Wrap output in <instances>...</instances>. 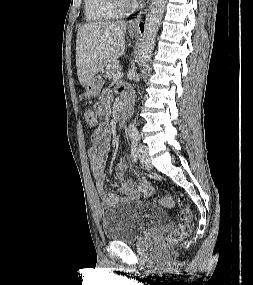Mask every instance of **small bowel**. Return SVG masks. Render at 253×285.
I'll use <instances>...</instances> for the list:
<instances>
[{"label": "small bowel", "mask_w": 253, "mask_h": 285, "mask_svg": "<svg viewBox=\"0 0 253 285\" xmlns=\"http://www.w3.org/2000/svg\"><path fill=\"white\" fill-rule=\"evenodd\" d=\"M122 93L124 97L128 96L127 90H123ZM111 100V92L108 90L105 91L101 96V104L96 111L101 123H104L110 116ZM109 150L110 135L107 128L101 125L91 135L88 158L97 190L101 196L102 206L108 208L120 201H136L139 200L142 195L151 197L154 194V189L145 179L131 178L126 181L123 180L127 171V165L124 161L116 168V177L120 184V194L107 193L105 191L106 179L104 170Z\"/></svg>", "instance_id": "small-bowel-1"}]
</instances>
